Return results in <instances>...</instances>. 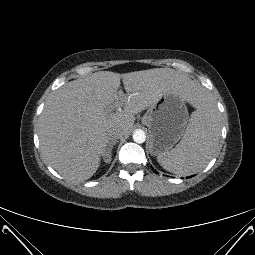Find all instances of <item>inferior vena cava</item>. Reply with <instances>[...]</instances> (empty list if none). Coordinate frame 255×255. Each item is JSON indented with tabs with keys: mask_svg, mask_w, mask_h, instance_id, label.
I'll return each mask as SVG.
<instances>
[{
	"mask_svg": "<svg viewBox=\"0 0 255 255\" xmlns=\"http://www.w3.org/2000/svg\"><path fill=\"white\" fill-rule=\"evenodd\" d=\"M124 136L123 131L120 129H110L107 135L109 145L115 143L118 139Z\"/></svg>",
	"mask_w": 255,
	"mask_h": 255,
	"instance_id": "obj_1",
	"label": "inferior vena cava"
}]
</instances>
